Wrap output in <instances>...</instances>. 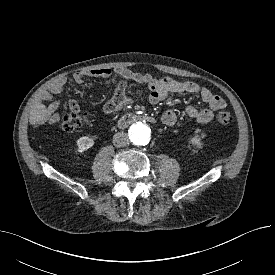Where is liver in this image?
Listing matches in <instances>:
<instances>
[{"label": "liver", "mask_w": 275, "mask_h": 275, "mask_svg": "<svg viewBox=\"0 0 275 275\" xmlns=\"http://www.w3.org/2000/svg\"><path fill=\"white\" fill-rule=\"evenodd\" d=\"M55 107L54 105L46 108L44 105H41L31 116L30 124L35 125L46 121L49 116L53 113Z\"/></svg>", "instance_id": "6515ba94"}]
</instances>
